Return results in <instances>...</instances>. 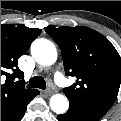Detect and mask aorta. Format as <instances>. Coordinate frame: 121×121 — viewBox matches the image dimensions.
I'll return each mask as SVG.
<instances>
[{
    "mask_svg": "<svg viewBox=\"0 0 121 121\" xmlns=\"http://www.w3.org/2000/svg\"><path fill=\"white\" fill-rule=\"evenodd\" d=\"M31 55L41 65L50 66L57 60L55 45L46 39H36L31 45ZM50 107L57 114L65 113L69 108L68 99L62 94L50 98Z\"/></svg>",
    "mask_w": 121,
    "mask_h": 121,
    "instance_id": "1",
    "label": "aorta"
}]
</instances>
